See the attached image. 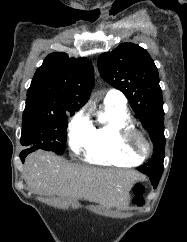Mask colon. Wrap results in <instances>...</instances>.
<instances>
[{
	"mask_svg": "<svg viewBox=\"0 0 187 242\" xmlns=\"http://www.w3.org/2000/svg\"><path fill=\"white\" fill-rule=\"evenodd\" d=\"M145 191V187L143 184H136L133 187V203L137 206H141L143 204V194Z\"/></svg>",
	"mask_w": 187,
	"mask_h": 242,
	"instance_id": "5ec220e1",
	"label": "colon"
}]
</instances>
